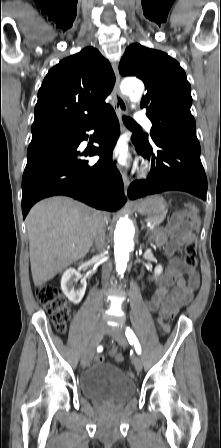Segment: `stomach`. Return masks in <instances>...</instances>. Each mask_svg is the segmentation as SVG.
<instances>
[{"label":"stomach","mask_w":221,"mask_h":448,"mask_svg":"<svg viewBox=\"0 0 221 448\" xmlns=\"http://www.w3.org/2000/svg\"><path fill=\"white\" fill-rule=\"evenodd\" d=\"M132 208L140 214L149 217L159 216L167 213L165 200L158 196H150L132 204Z\"/></svg>","instance_id":"stomach-1"}]
</instances>
